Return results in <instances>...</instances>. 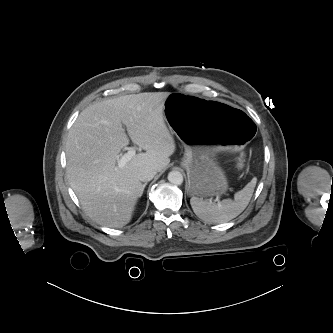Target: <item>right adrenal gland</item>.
Masks as SVG:
<instances>
[{"instance_id":"1","label":"right adrenal gland","mask_w":333,"mask_h":333,"mask_svg":"<svg viewBox=\"0 0 333 333\" xmlns=\"http://www.w3.org/2000/svg\"><path fill=\"white\" fill-rule=\"evenodd\" d=\"M146 186V183L145 184H143V188Z\"/></svg>"}]
</instances>
